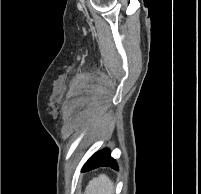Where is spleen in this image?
Wrapping results in <instances>:
<instances>
[{
  "mask_svg": "<svg viewBox=\"0 0 201 194\" xmlns=\"http://www.w3.org/2000/svg\"><path fill=\"white\" fill-rule=\"evenodd\" d=\"M113 182L105 174H101L89 181L85 194H113Z\"/></svg>",
  "mask_w": 201,
  "mask_h": 194,
  "instance_id": "1",
  "label": "spleen"
}]
</instances>
